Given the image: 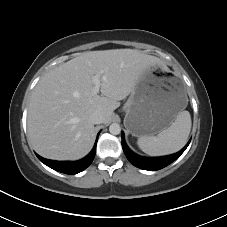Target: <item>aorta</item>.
Wrapping results in <instances>:
<instances>
[{
  "instance_id": "aorta-1",
  "label": "aorta",
  "mask_w": 227,
  "mask_h": 227,
  "mask_svg": "<svg viewBox=\"0 0 227 227\" xmlns=\"http://www.w3.org/2000/svg\"><path fill=\"white\" fill-rule=\"evenodd\" d=\"M109 132L112 135H118L121 132V127L118 123H112L109 127Z\"/></svg>"
}]
</instances>
